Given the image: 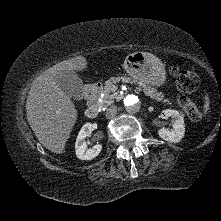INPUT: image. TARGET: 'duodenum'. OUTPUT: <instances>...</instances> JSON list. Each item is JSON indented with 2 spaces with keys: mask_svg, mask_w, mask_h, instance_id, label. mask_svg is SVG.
<instances>
[{
  "mask_svg": "<svg viewBox=\"0 0 221 221\" xmlns=\"http://www.w3.org/2000/svg\"><path fill=\"white\" fill-rule=\"evenodd\" d=\"M103 86L101 83H93L85 90V97L88 101V107L85 110V116L94 119L99 114V97Z\"/></svg>",
  "mask_w": 221,
  "mask_h": 221,
  "instance_id": "410a0bca",
  "label": "duodenum"
}]
</instances>
